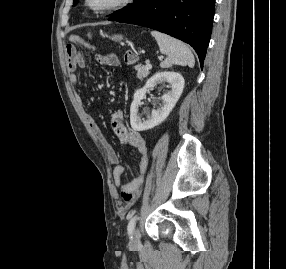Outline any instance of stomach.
<instances>
[{
    "mask_svg": "<svg viewBox=\"0 0 286 269\" xmlns=\"http://www.w3.org/2000/svg\"><path fill=\"white\" fill-rule=\"evenodd\" d=\"M112 40H115V41H119V40H122L123 37L121 35H114L111 37Z\"/></svg>",
    "mask_w": 286,
    "mask_h": 269,
    "instance_id": "stomach-1",
    "label": "stomach"
}]
</instances>
